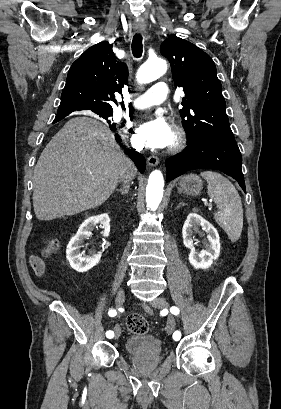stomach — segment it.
<instances>
[{
	"mask_svg": "<svg viewBox=\"0 0 281 409\" xmlns=\"http://www.w3.org/2000/svg\"><path fill=\"white\" fill-rule=\"evenodd\" d=\"M202 186L203 182L197 174H186L177 182L179 192H185V194H200Z\"/></svg>",
	"mask_w": 281,
	"mask_h": 409,
	"instance_id": "obj_1",
	"label": "stomach"
}]
</instances>
